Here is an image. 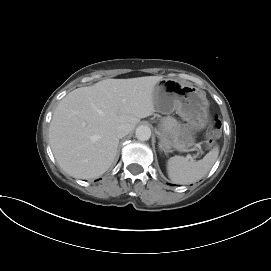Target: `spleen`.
I'll return each mask as SVG.
<instances>
[{"mask_svg": "<svg viewBox=\"0 0 271 271\" xmlns=\"http://www.w3.org/2000/svg\"><path fill=\"white\" fill-rule=\"evenodd\" d=\"M219 155V148L214 147L203 159L188 161L183 156H174L167 162V172L175 184H191L201 180L212 168Z\"/></svg>", "mask_w": 271, "mask_h": 271, "instance_id": "obj_1", "label": "spleen"}]
</instances>
